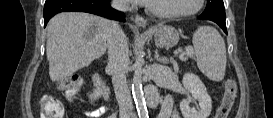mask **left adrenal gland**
Segmentation results:
<instances>
[{
	"label": "left adrenal gland",
	"instance_id": "left-adrenal-gland-1",
	"mask_svg": "<svg viewBox=\"0 0 273 118\" xmlns=\"http://www.w3.org/2000/svg\"><path fill=\"white\" fill-rule=\"evenodd\" d=\"M155 59H156L158 62H161V63H166V62H167V59H166V58L159 57L158 50L155 51Z\"/></svg>",
	"mask_w": 273,
	"mask_h": 118
}]
</instances>
